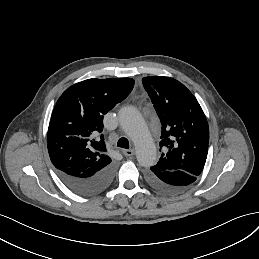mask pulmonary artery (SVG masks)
Returning a JSON list of instances; mask_svg holds the SVG:
<instances>
[{
    "mask_svg": "<svg viewBox=\"0 0 259 259\" xmlns=\"http://www.w3.org/2000/svg\"><path fill=\"white\" fill-rule=\"evenodd\" d=\"M142 126V121L132 115H128L120 119L121 129L132 138H136L139 135Z\"/></svg>",
    "mask_w": 259,
    "mask_h": 259,
    "instance_id": "pulmonary-artery-1",
    "label": "pulmonary artery"
}]
</instances>
